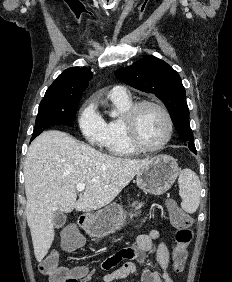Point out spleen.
<instances>
[{"label": "spleen", "instance_id": "obj_1", "mask_svg": "<svg viewBox=\"0 0 232 282\" xmlns=\"http://www.w3.org/2000/svg\"><path fill=\"white\" fill-rule=\"evenodd\" d=\"M181 207L187 213H194L200 203L201 183L199 177L190 169L181 171L178 179Z\"/></svg>", "mask_w": 232, "mask_h": 282}]
</instances>
